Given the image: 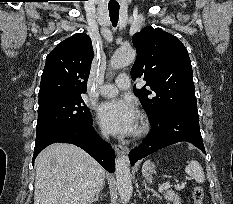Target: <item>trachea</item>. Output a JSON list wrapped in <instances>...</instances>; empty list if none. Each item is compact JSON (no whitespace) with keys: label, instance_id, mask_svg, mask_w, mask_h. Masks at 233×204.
Returning <instances> with one entry per match:
<instances>
[{"label":"trachea","instance_id":"3493384b","mask_svg":"<svg viewBox=\"0 0 233 204\" xmlns=\"http://www.w3.org/2000/svg\"><path fill=\"white\" fill-rule=\"evenodd\" d=\"M108 9L111 22L116 27L119 19V5H109Z\"/></svg>","mask_w":233,"mask_h":204}]
</instances>
